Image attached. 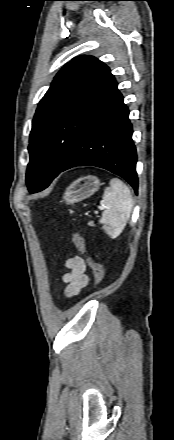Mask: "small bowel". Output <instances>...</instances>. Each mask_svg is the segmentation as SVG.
Wrapping results in <instances>:
<instances>
[{"label": "small bowel", "mask_w": 174, "mask_h": 440, "mask_svg": "<svg viewBox=\"0 0 174 440\" xmlns=\"http://www.w3.org/2000/svg\"><path fill=\"white\" fill-rule=\"evenodd\" d=\"M68 272L62 276L65 284V295L74 297L78 295L83 288L88 285L89 277L86 274V264L82 257L72 256L65 262Z\"/></svg>", "instance_id": "obj_1"}]
</instances>
